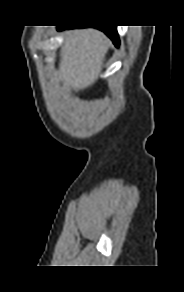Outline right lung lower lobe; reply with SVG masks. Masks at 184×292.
<instances>
[{"label":"right lung lower lobe","mask_w":184,"mask_h":292,"mask_svg":"<svg viewBox=\"0 0 184 292\" xmlns=\"http://www.w3.org/2000/svg\"><path fill=\"white\" fill-rule=\"evenodd\" d=\"M87 26H58L59 30L62 29H70V28H84ZM95 28H98L99 30L103 31L115 44V46H119V37H118V33L116 30V26H104V27H98V26H93Z\"/></svg>","instance_id":"obj_1"}]
</instances>
